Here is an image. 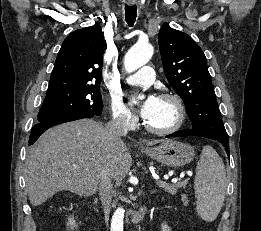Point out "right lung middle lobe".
Segmentation results:
<instances>
[{
	"label": "right lung middle lobe",
	"instance_id": "1",
	"mask_svg": "<svg viewBox=\"0 0 261 231\" xmlns=\"http://www.w3.org/2000/svg\"><path fill=\"white\" fill-rule=\"evenodd\" d=\"M102 108L99 86L48 88L37 119L40 123L74 113L100 115Z\"/></svg>",
	"mask_w": 261,
	"mask_h": 231
}]
</instances>
